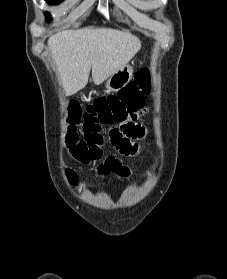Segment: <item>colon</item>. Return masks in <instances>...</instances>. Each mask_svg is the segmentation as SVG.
Here are the masks:
<instances>
[{
    "mask_svg": "<svg viewBox=\"0 0 227 279\" xmlns=\"http://www.w3.org/2000/svg\"><path fill=\"white\" fill-rule=\"evenodd\" d=\"M150 70L142 69L136 75V83L124 88L119 96L111 95L96 99L87 105L82 112L77 103L70 105L69 126L67 128L68 151L77 161L87 164L101 156V147L105 140L102 134L103 125H120L128 134L136 137L137 127L131 125L139 115L143 102L139 97V87H144L150 77ZM145 92H149L148 86ZM82 121L83 137L80 138L76 126ZM130 123V124H128ZM110 134L113 138L117 129L112 128ZM137 145L133 144L129 155H134Z\"/></svg>",
    "mask_w": 227,
    "mask_h": 279,
    "instance_id": "5ec220e1",
    "label": "colon"
}]
</instances>
